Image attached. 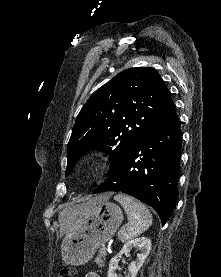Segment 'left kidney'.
<instances>
[{
	"label": "left kidney",
	"instance_id": "obj_1",
	"mask_svg": "<svg viewBox=\"0 0 221 277\" xmlns=\"http://www.w3.org/2000/svg\"><path fill=\"white\" fill-rule=\"evenodd\" d=\"M133 248H136L137 250H139L140 253L137 254L136 261H132L129 264V268H128L129 272L125 277H136L139 269L145 262V259L147 258L151 250V240H149L146 237H139V238L130 240L124 244L121 251L111 259L107 277H117L115 270L117 269L120 258L122 257L123 254L129 253Z\"/></svg>",
	"mask_w": 221,
	"mask_h": 277
}]
</instances>
